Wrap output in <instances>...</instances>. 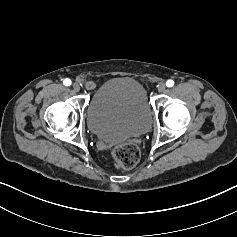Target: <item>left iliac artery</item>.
I'll return each instance as SVG.
<instances>
[{
	"label": "left iliac artery",
	"instance_id": "obj_1",
	"mask_svg": "<svg viewBox=\"0 0 237 237\" xmlns=\"http://www.w3.org/2000/svg\"><path fill=\"white\" fill-rule=\"evenodd\" d=\"M174 85V81L173 80H168L167 82H166V86L167 87H172Z\"/></svg>",
	"mask_w": 237,
	"mask_h": 237
}]
</instances>
